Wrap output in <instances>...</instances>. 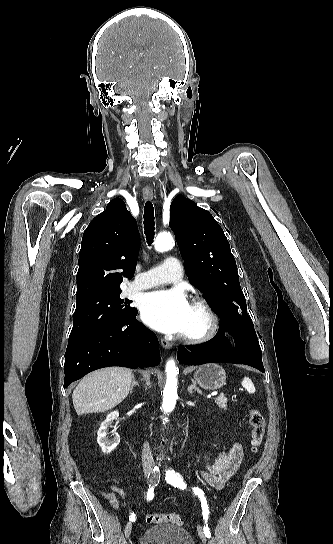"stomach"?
Instances as JSON below:
<instances>
[{"label":"stomach","instance_id":"1","mask_svg":"<svg viewBox=\"0 0 333 544\" xmlns=\"http://www.w3.org/2000/svg\"><path fill=\"white\" fill-rule=\"evenodd\" d=\"M194 378L202 388L217 390L225 384L226 373L220 365L207 363L197 368Z\"/></svg>","mask_w":333,"mask_h":544}]
</instances>
